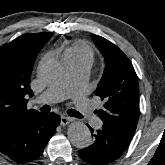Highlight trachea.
<instances>
[{
  "mask_svg": "<svg viewBox=\"0 0 165 165\" xmlns=\"http://www.w3.org/2000/svg\"><path fill=\"white\" fill-rule=\"evenodd\" d=\"M41 111L44 112V113H48L50 111V106L49 105L42 106ZM68 114L70 116L76 117V118H82L83 117L78 111H76L74 109H69Z\"/></svg>",
  "mask_w": 165,
  "mask_h": 165,
  "instance_id": "obj_1",
  "label": "trachea"
}]
</instances>
